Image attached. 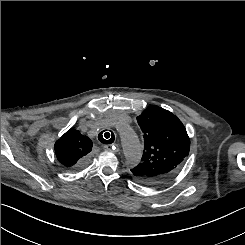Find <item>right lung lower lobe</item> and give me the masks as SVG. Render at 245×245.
Returning a JSON list of instances; mask_svg holds the SVG:
<instances>
[{
    "label": "right lung lower lobe",
    "mask_w": 245,
    "mask_h": 245,
    "mask_svg": "<svg viewBox=\"0 0 245 245\" xmlns=\"http://www.w3.org/2000/svg\"><path fill=\"white\" fill-rule=\"evenodd\" d=\"M85 165V160H83L76 168L83 167Z\"/></svg>",
    "instance_id": "98d812e1"
}]
</instances>
